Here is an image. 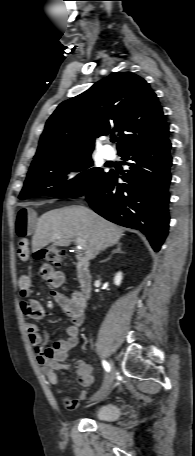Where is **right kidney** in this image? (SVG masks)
Segmentation results:
<instances>
[{"instance_id": "1", "label": "right kidney", "mask_w": 195, "mask_h": 456, "mask_svg": "<svg viewBox=\"0 0 195 456\" xmlns=\"http://www.w3.org/2000/svg\"><path fill=\"white\" fill-rule=\"evenodd\" d=\"M121 280H122V273L118 272L114 277V284L116 286H119L121 284Z\"/></svg>"}]
</instances>
